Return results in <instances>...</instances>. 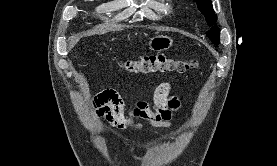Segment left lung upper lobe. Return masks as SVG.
<instances>
[{
  "mask_svg": "<svg viewBox=\"0 0 277 166\" xmlns=\"http://www.w3.org/2000/svg\"><path fill=\"white\" fill-rule=\"evenodd\" d=\"M197 2L198 8L201 13L206 17V21L209 26H212L214 22H216V15L214 14V10L212 8V4L210 0H194ZM220 30L217 26L213 25L210 30L206 32V35L211 39L214 44L219 43V33Z\"/></svg>",
  "mask_w": 277,
  "mask_h": 166,
  "instance_id": "left-lung-upper-lobe-1",
  "label": "left lung upper lobe"
}]
</instances>
